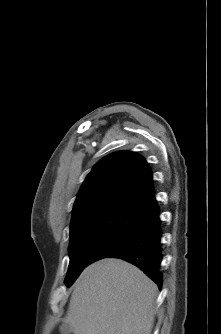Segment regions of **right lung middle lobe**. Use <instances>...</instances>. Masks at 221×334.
I'll use <instances>...</instances> for the list:
<instances>
[{
	"label": "right lung middle lobe",
	"mask_w": 221,
	"mask_h": 334,
	"mask_svg": "<svg viewBox=\"0 0 221 334\" xmlns=\"http://www.w3.org/2000/svg\"><path fill=\"white\" fill-rule=\"evenodd\" d=\"M142 216L111 213L100 214L81 221L70 231V264L65 278L67 287L89 264L106 258L141 224Z\"/></svg>",
	"instance_id": "right-lung-middle-lobe-1"
}]
</instances>
